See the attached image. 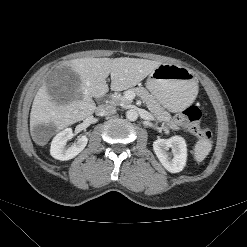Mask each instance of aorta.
Returning a JSON list of instances; mask_svg holds the SVG:
<instances>
[{"label":"aorta","instance_id":"aorta-1","mask_svg":"<svg viewBox=\"0 0 247 247\" xmlns=\"http://www.w3.org/2000/svg\"><path fill=\"white\" fill-rule=\"evenodd\" d=\"M126 118L130 121H136L138 118V112L135 109H129L126 112Z\"/></svg>","mask_w":247,"mask_h":247}]
</instances>
